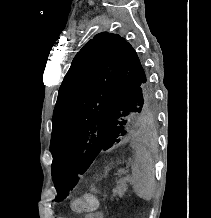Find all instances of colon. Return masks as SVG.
Listing matches in <instances>:
<instances>
[{"label": "colon", "instance_id": "5ec220e1", "mask_svg": "<svg viewBox=\"0 0 211 218\" xmlns=\"http://www.w3.org/2000/svg\"><path fill=\"white\" fill-rule=\"evenodd\" d=\"M96 199L93 195H87L74 200L73 209L76 211H86L95 208Z\"/></svg>", "mask_w": 211, "mask_h": 218}]
</instances>
